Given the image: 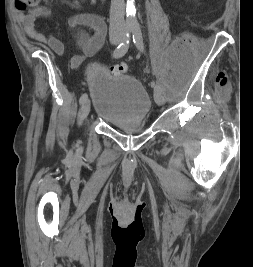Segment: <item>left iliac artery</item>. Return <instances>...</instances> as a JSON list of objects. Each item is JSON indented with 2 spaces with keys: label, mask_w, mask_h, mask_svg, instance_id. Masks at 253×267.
<instances>
[{
  "label": "left iliac artery",
  "mask_w": 253,
  "mask_h": 267,
  "mask_svg": "<svg viewBox=\"0 0 253 267\" xmlns=\"http://www.w3.org/2000/svg\"><path fill=\"white\" fill-rule=\"evenodd\" d=\"M133 42L139 51L144 50V41L140 27H136L133 29ZM152 87L154 88V91H160L163 93L162 88L155 82H152Z\"/></svg>",
  "instance_id": "left-iliac-artery-1"
}]
</instances>
